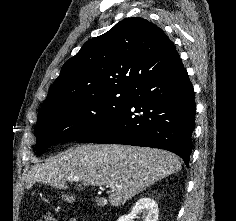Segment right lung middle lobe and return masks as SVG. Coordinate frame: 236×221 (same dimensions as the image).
<instances>
[{"label":"right lung middle lobe","instance_id":"1","mask_svg":"<svg viewBox=\"0 0 236 221\" xmlns=\"http://www.w3.org/2000/svg\"><path fill=\"white\" fill-rule=\"evenodd\" d=\"M130 97L131 90H116L41 108L35 126L36 153L41 155L54 144L81 139L100 127Z\"/></svg>","mask_w":236,"mask_h":221}]
</instances>
